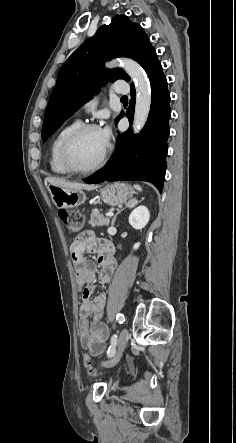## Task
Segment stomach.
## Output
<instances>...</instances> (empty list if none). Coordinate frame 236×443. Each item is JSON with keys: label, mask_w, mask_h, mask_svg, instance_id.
<instances>
[{"label": "stomach", "mask_w": 236, "mask_h": 443, "mask_svg": "<svg viewBox=\"0 0 236 443\" xmlns=\"http://www.w3.org/2000/svg\"><path fill=\"white\" fill-rule=\"evenodd\" d=\"M49 193L55 206L59 209H70L82 205L86 196L82 190H73L50 184ZM133 189L125 183H113L101 189L103 202L110 206L126 203L133 196Z\"/></svg>", "instance_id": "1"}]
</instances>
